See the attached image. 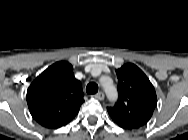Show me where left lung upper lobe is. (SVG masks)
Wrapping results in <instances>:
<instances>
[{
	"label": "left lung upper lobe",
	"instance_id": "obj_1",
	"mask_svg": "<svg viewBox=\"0 0 188 140\" xmlns=\"http://www.w3.org/2000/svg\"><path fill=\"white\" fill-rule=\"evenodd\" d=\"M116 73L119 99L107 111L120 127L138 129L152 117L157 104L155 89L142 70L134 64H125Z\"/></svg>",
	"mask_w": 188,
	"mask_h": 140
}]
</instances>
